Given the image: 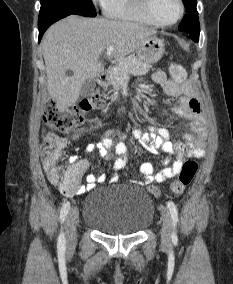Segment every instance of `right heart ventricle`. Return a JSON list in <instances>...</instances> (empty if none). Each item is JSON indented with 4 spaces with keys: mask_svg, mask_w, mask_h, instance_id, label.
<instances>
[{
    "mask_svg": "<svg viewBox=\"0 0 233 284\" xmlns=\"http://www.w3.org/2000/svg\"><path fill=\"white\" fill-rule=\"evenodd\" d=\"M103 7L105 14L110 18L143 25H156L145 14L141 0H106Z\"/></svg>",
    "mask_w": 233,
    "mask_h": 284,
    "instance_id": "1",
    "label": "right heart ventricle"
}]
</instances>
